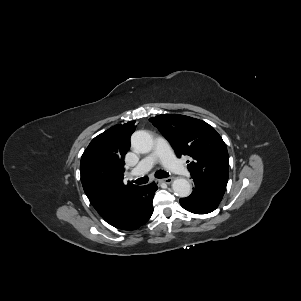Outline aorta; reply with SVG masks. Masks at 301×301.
I'll return each instance as SVG.
<instances>
[{
	"instance_id": "obj_1",
	"label": "aorta",
	"mask_w": 301,
	"mask_h": 301,
	"mask_svg": "<svg viewBox=\"0 0 301 301\" xmlns=\"http://www.w3.org/2000/svg\"><path fill=\"white\" fill-rule=\"evenodd\" d=\"M131 146L137 153H149L153 148V138L144 130L135 131L131 136ZM172 189L175 195L182 198L191 194V185L185 178H176Z\"/></svg>"
}]
</instances>
